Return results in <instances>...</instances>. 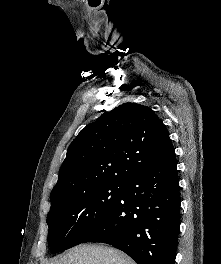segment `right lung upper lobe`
Returning a JSON list of instances; mask_svg holds the SVG:
<instances>
[{
    "instance_id": "right-lung-upper-lobe-1",
    "label": "right lung upper lobe",
    "mask_w": 221,
    "mask_h": 264,
    "mask_svg": "<svg viewBox=\"0 0 221 264\" xmlns=\"http://www.w3.org/2000/svg\"><path fill=\"white\" fill-rule=\"evenodd\" d=\"M175 155L165 125L147 106L122 104L85 127L70 144L51 209L67 197L162 164Z\"/></svg>"
}]
</instances>
